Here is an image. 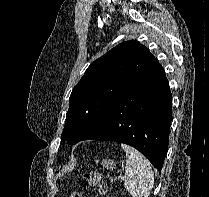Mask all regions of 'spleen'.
Segmentation results:
<instances>
[{
    "instance_id": "1",
    "label": "spleen",
    "mask_w": 209,
    "mask_h": 197,
    "mask_svg": "<svg viewBox=\"0 0 209 197\" xmlns=\"http://www.w3.org/2000/svg\"><path fill=\"white\" fill-rule=\"evenodd\" d=\"M126 153L124 186L132 197H148L153 188L154 174L149 161L135 148L121 144Z\"/></svg>"
}]
</instances>
